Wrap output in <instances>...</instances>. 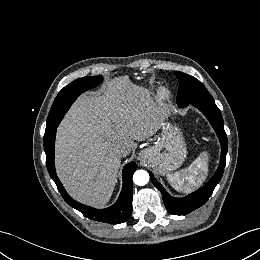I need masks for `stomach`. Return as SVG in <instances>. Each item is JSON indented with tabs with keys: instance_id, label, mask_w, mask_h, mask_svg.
I'll use <instances>...</instances> for the list:
<instances>
[{
	"instance_id": "obj_1",
	"label": "stomach",
	"mask_w": 260,
	"mask_h": 260,
	"mask_svg": "<svg viewBox=\"0 0 260 260\" xmlns=\"http://www.w3.org/2000/svg\"><path fill=\"white\" fill-rule=\"evenodd\" d=\"M153 168L161 173L181 166L186 157V147L179 133L169 124L154 138V145L145 150Z\"/></svg>"
}]
</instances>
